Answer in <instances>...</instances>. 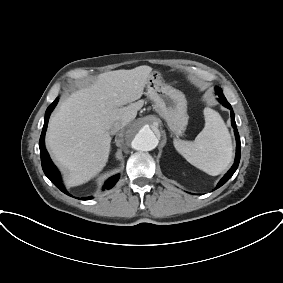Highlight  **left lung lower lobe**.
<instances>
[{
  "mask_svg": "<svg viewBox=\"0 0 283 283\" xmlns=\"http://www.w3.org/2000/svg\"><path fill=\"white\" fill-rule=\"evenodd\" d=\"M219 100L220 102L223 104V106L227 107L228 109L231 110V123L232 126L234 128V133H235V137H236V157H235V162L233 164V166L230 168V170L225 174V176L220 180V182L218 183L217 188L221 187L223 184H225L231 177L232 175L235 173V171L238 168L239 165V161H240V155H241V144H240V137H239V133L237 131V127H236V123H235V119H234V112L233 109L231 107V105L228 103L227 99L225 98V96H219Z\"/></svg>",
  "mask_w": 283,
  "mask_h": 283,
  "instance_id": "1",
  "label": "left lung lower lobe"
}]
</instances>
